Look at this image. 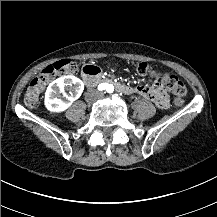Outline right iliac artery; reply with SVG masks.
<instances>
[{
	"mask_svg": "<svg viewBox=\"0 0 217 217\" xmlns=\"http://www.w3.org/2000/svg\"><path fill=\"white\" fill-rule=\"evenodd\" d=\"M98 90H101V91H102V90H104V88L98 87Z\"/></svg>",
	"mask_w": 217,
	"mask_h": 217,
	"instance_id": "obj_1",
	"label": "right iliac artery"
}]
</instances>
